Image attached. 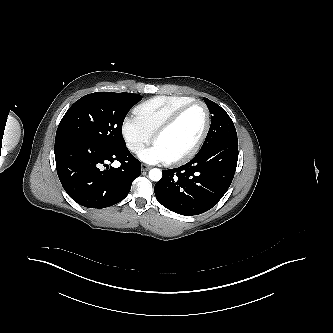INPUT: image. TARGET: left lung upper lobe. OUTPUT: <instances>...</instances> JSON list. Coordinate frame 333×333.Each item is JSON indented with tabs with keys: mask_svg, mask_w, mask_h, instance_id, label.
<instances>
[{
	"mask_svg": "<svg viewBox=\"0 0 333 333\" xmlns=\"http://www.w3.org/2000/svg\"><path fill=\"white\" fill-rule=\"evenodd\" d=\"M204 101L212 116L209 132L200 150L227 142L238 144L235 126L226 111L207 98Z\"/></svg>",
	"mask_w": 333,
	"mask_h": 333,
	"instance_id": "1",
	"label": "left lung upper lobe"
}]
</instances>
